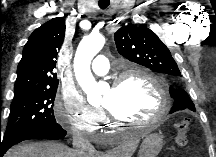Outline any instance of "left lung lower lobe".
Here are the masks:
<instances>
[{
  "label": "left lung lower lobe",
  "mask_w": 216,
  "mask_h": 157,
  "mask_svg": "<svg viewBox=\"0 0 216 157\" xmlns=\"http://www.w3.org/2000/svg\"><path fill=\"white\" fill-rule=\"evenodd\" d=\"M184 109H187V107L182 104V103H174L173 106H172V109H171V113L172 112H176V111H179V110H184Z\"/></svg>",
  "instance_id": "1"
}]
</instances>
